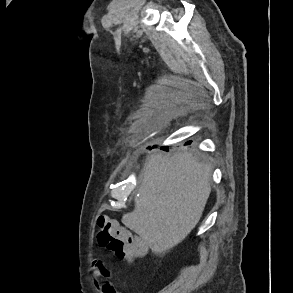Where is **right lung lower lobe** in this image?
I'll return each instance as SVG.
<instances>
[{"instance_id":"1","label":"right lung lower lobe","mask_w":293,"mask_h":293,"mask_svg":"<svg viewBox=\"0 0 293 293\" xmlns=\"http://www.w3.org/2000/svg\"><path fill=\"white\" fill-rule=\"evenodd\" d=\"M163 149L167 150V147H164Z\"/></svg>"}]
</instances>
